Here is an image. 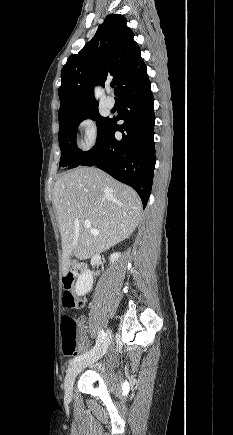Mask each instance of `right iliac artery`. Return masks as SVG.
Segmentation results:
<instances>
[{
	"label": "right iliac artery",
	"mask_w": 233,
	"mask_h": 435,
	"mask_svg": "<svg viewBox=\"0 0 233 435\" xmlns=\"http://www.w3.org/2000/svg\"><path fill=\"white\" fill-rule=\"evenodd\" d=\"M104 336H105L104 330H101L99 332V334H98V337H97V340H96V344L93 347V349H91L90 351H88V352H86V353H84V354H82L80 356H77V357L73 358L70 361L69 366L73 365L74 363H76L78 361L83 360L84 358H87L89 356L94 355V353L99 349L101 343L103 342Z\"/></svg>",
	"instance_id": "82829eb1"
}]
</instances>
